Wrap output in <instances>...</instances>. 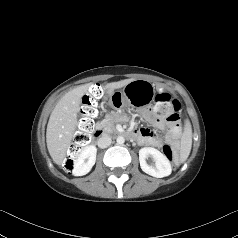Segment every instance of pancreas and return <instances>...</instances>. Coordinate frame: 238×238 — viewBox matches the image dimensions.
Here are the masks:
<instances>
[{
    "instance_id": "pancreas-1",
    "label": "pancreas",
    "mask_w": 238,
    "mask_h": 238,
    "mask_svg": "<svg viewBox=\"0 0 238 238\" xmlns=\"http://www.w3.org/2000/svg\"><path fill=\"white\" fill-rule=\"evenodd\" d=\"M100 126L106 130H111L113 129V122L109 119H104L101 121Z\"/></svg>"
}]
</instances>
